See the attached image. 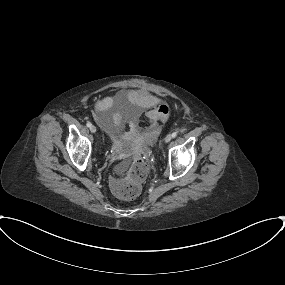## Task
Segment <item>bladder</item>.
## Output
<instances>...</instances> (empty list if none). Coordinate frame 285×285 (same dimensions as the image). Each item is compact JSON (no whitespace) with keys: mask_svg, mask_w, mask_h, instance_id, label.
I'll use <instances>...</instances> for the list:
<instances>
[{"mask_svg":"<svg viewBox=\"0 0 285 285\" xmlns=\"http://www.w3.org/2000/svg\"><path fill=\"white\" fill-rule=\"evenodd\" d=\"M136 95L132 91H123L120 93L116 99V102L118 101H129L130 99H133ZM155 138V134L152 130H149L146 133H141L139 131L136 132L135 140L140 144H149L152 142Z\"/></svg>","mask_w":285,"mask_h":285,"instance_id":"obj_1","label":"bladder"}]
</instances>
